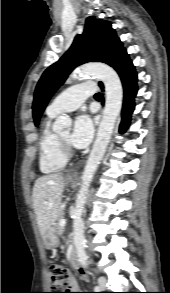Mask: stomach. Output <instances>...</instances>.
Here are the masks:
<instances>
[{"label":"stomach","mask_w":170,"mask_h":293,"mask_svg":"<svg viewBox=\"0 0 170 293\" xmlns=\"http://www.w3.org/2000/svg\"><path fill=\"white\" fill-rule=\"evenodd\" d=\"M66 179L68 183H73L75 181V179L72 177H67ZM43 241L44 245L48 249L56 248L59 245V238L57 234L51 229L44 234Z\"/></svg>","instance_id":"obj_1"}]
</instances>
